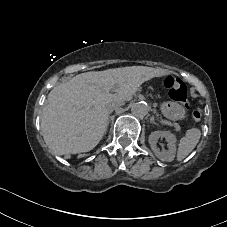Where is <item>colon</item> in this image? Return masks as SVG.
<instances>
[{
  "label": "colon",
  "instance_id": "5ec220e1",
  "mask_svg": "<svg viewBox=\"0 0 227 227\" xmlns=\"http://www.w3.org/2000/svg\"><path fill=\"white\" fill-rule=\"evenodd\" d=\"M163 84L169 89L170 95L173 100L183 103L188 106V89L183 81L176 77L165 76L162 78ZM191 117L194 121H200L202 119V112L199 109H193L191 111Z\"/></svg>",
  "mask_w": 227,
  "mask_h": 227
}]
</instances>
